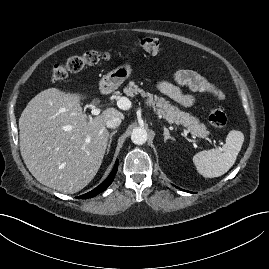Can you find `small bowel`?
I'll return each instance as SVG.
<instances>
[{"label": "small bowel", "instance_id": "small-bowel-1", "mask_svg": "<svg viewBox=\"0 0 269 269\" xmlns=\"http://www.w3.org/2000/svg\"><path fill=\"white\" fill-rule=\"evenodd\" d=\"M179 86L188 87L192 92L207 94L215 99L222 100L224 95L206 78L190 69L178 70L174 75V82L160 81L157 84L158 90L184 107H191L195 104V97L183 93Z\"/></svg>", "mask_w": 269, "mask_h": 269}]
</instances>
